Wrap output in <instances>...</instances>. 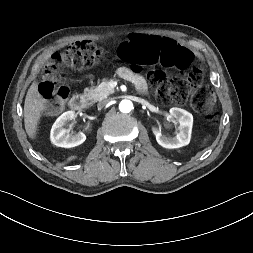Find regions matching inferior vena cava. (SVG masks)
<instances>
[{
    "mask_svg": "<svg viewBox=\"0 0 253 253\" xmlns=\"http://www.w3.org/2000/svg\"><path fill=\"white\" fill-rule=\"evenodd\" d=\"M109 100L108 99H104V100H101L97 106L98 108H103L104 106H106L108 104Z\"/></svg>",
    "mask_w": 253,
    "mask_h": 253,
    "instance_id": "inferior-vena-cava-1",
    "label": "inferior vena cava"
}]
</instances>
